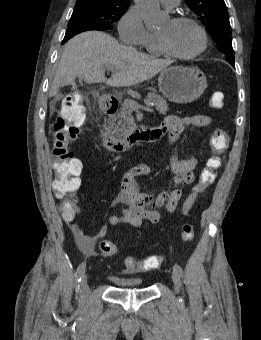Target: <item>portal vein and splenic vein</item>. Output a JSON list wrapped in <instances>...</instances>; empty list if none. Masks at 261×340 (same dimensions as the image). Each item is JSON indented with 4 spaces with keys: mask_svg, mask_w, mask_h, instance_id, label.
<instances>
[{
    "mask_svg": "<svg viewBox=\"0 0 261 340\" xmlns=\"http://www.w3.org/2000/svg\"><path fill=\"white\" fill-rule=\"evenodd\" d=\"M106 70H107V71H113L114 68L111 67V66H107V67H106ZM128 103H129V106H130L133 110H136V111H137V110L142 109V110H145V111L153 112L152 107L140 105L139 103H137V102L134 101V100H128Z\"/></svg>",
    "mask_w": 261,
    "mask_h": 340,
    "instance_id": "obj_1",
    "label": "portal vein and splenic vein"
}]
</instances>
